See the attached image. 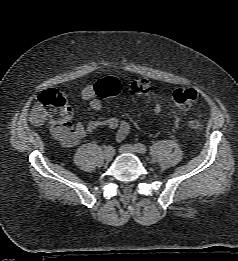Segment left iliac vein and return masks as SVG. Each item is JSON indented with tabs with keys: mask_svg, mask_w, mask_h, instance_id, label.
Here are the masks:
<instances>
[{
	"mask_svg": "<svg viewBox=\"0 0 238 261\" xmlns=\"http://www.w3.org/2000/svg\"><path fill=\"white\" fill-rule=\"evenodd\" d=\"M120 152L121 153L137 154L138 151L136 150L135 146L130 145V144H125V145L120 147Z\"/></svg>",
	"mask_w": 238,
	"mask_h": 261,
	"instance_id": "4c4485c4",
	"label": "left iliac vein"
}]
</instances>
